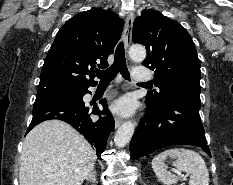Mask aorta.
Here are the masks:
<instances>
[{
	"label": "aorta",
	"mask_w": 233,
	"mask_h": 185,
	"mask_svg": "<svg viewBox=\"0 0 233 185\" xmlns=\"http://www.w3.org/2000/svg\"><path fill=\"white\" fill-rule=\"evenodd\" d=\"M129 56L134 61H143L146 57L145 47L141 45H132L129 49ZM134 123L131 121L125 122L121 125L115 135L114 143L121 148L127 145L134 134Z\"/></svg>",
	"instance_id": "762f6f07"
}]
</instances>
